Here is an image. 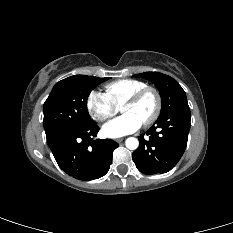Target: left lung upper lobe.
<instances>
[{"label":"left lung upper lobe","instance_id":"obj_1","mask_svg":"<svg viewBox=\"0 0 233 233\" xmlns=\"http://www.w3.org/2000/svg\"><path fill=\"white\" fill-rule=\"evenodd\" d=\"M134 76L147 79L158 88L162 103L160 116L182 104H187L185 91L172 77L159 72H144Z\"/></svg>","mask_w":233,"mask_h":233}]
</instances>
